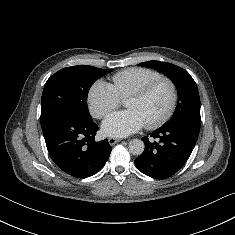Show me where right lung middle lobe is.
I'll list each match as a JSON object with an SVG mask.
<instances>
[{
    "mask_svg": "<svg viewBox=\"0 0 235 235\" xmlns=\"http://www.w3.org/2000/svg\"><path fill=\"white\" fill-rule=\"evenodd\" d=\"M112 71L79 65L52 75L45 83L41 98V126L66 115L91 119L87 106L88 91L98 78Z\"/></svg>",
    "mask_w": 235,
    "mask_h": 235,
    "instance_id": "dd1d6c3e",
    "label": "right lung middle lobe"
}]
</instances>
